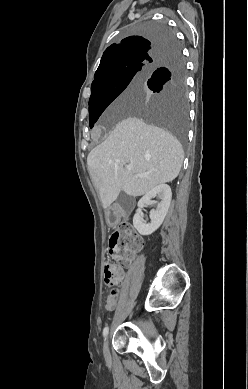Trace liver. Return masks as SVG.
<instances>
[{
	"mask_svg": "<svg viewBox=\"0 0 248 389\" xmlns=\"http://www.w3.org/2000/svg\"><path fill=\"white\" fill-rule=\"evenodd\" d=\"M134 85L117 100L132 101ZM184 159L180 142L168 131L146 124L137 117L120 121L107 139L87 157L92 183L99 190L102 206L108 208L123 191L137 197L154 187L173 181ZM125 165H132L128 171ZM146 174L138 177L136 174Z\"/></svg>",
	"mask_w": 248,
	"mask_h": 389,
	"instance_id": "obj_1",
	"label": "liver"
}]
</instances>
